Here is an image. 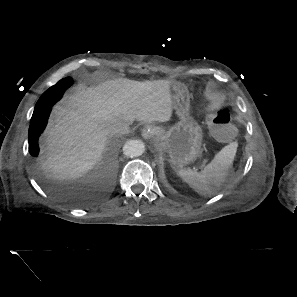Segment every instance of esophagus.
Returning a JSON list of instances; mask_svg holds the SVG:
<instances>
[{
  "label": "esophagus",
  "mask_w": 297,
  "mask_h": 297,
  "mask_svg": "<svg viewBox=\"0 0 297 297\" xmlns=\"http://www.w3.org/2000/svg\"><path fill=\"white\" fill-rule=\"evenodd\" d=\"M144 139H150L157 134V129L153 126H144L141 130Z\"/></svg>",
  "instance_id": "esophagus-1"
}]
</instances>
